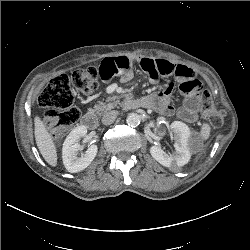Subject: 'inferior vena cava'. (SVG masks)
<instances>
[{"label":"inferior vena cava","mask_w":250,"mask_h":250,"mask_svg":"<svg viewBox=\"0 0 250 250\" xmlns=\"http://www.w3.org/2000/svg\"><path fill=\"white\" fill-rule=\"evenodd\" d=\"M117 116H118V111L116 110L108 111L103 115L102 123L104 125H110L115 121Z\"/></svg>","instance_id":"1"}]
</instances>
